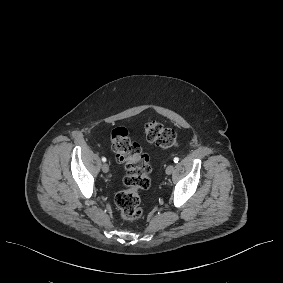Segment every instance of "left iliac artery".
Segmentation results:
<instances>
[{"label": "left iliac artery", "instance_id": "obj_1", "mask_svg": "<svg viewBox=\"0 0 283 283\" xmlns=\"http://www.w3.org/2000/svg\"><path fill=\"white\" fill-rule=\"evenodd\" d=\"M173 161H174L175 163H178L179 158H178V157H175Z\"/></svg>", "mask_w": 283, "mask_h": 283}]
</instances>
